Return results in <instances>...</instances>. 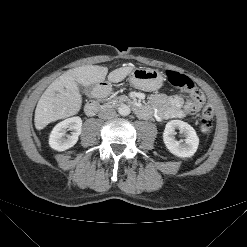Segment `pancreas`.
<instances>
[{"instance_id":"cf45deb5","label":"pancreas","mask_w":247,"mask_h":247,"mask_svg":"<svg viewBox=\"0 0 247 247\" xmlns=\"http://www.w3.org/2000/svg\"><path fill=\"white\" fill-rule=\"evenodd\" d=\"M125 100H127L126 96L115 97V98L111 99L108 102V104L115 105V104L120 103V102L125 101Z\"/></svg>"}]
</instances>
